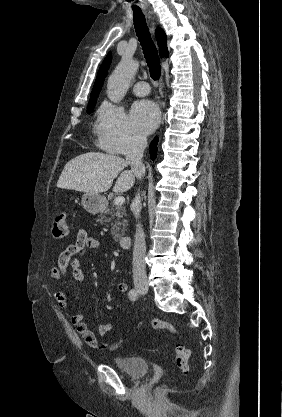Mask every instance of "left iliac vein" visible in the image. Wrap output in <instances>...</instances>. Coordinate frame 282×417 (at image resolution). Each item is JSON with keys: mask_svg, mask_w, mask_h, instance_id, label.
<instances>
[{"mask_svg": "<svg viewBox=\"0 0 282 417\" xmlns=\"http://www.w3.org/2000/svg\"><path fill=\"white\" fill-rule=\"evenodd\" d=\"M147 292V291H146ZM146 292H141L142 294H145Z\"/></svg>", "mask_w": 282, "mask_h": 417, "instance_id": "1", "label": "left iliac vein"}]
</instances>
